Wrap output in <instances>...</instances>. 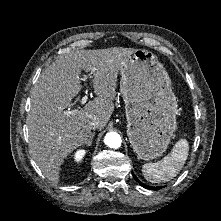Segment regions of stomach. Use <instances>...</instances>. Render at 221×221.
I'll return each mask as SVG.
<instances>
[{"label":"stomach","mask_w":221,"mask_h":221,"mask_svg":"<svg viewBox=\"0 0 221 221\" xmlns=\"http://www.w3.org/2000/svg\"><path fill=\"white\" fill-rule=\"evenodd\" d=\"M127 135L139 159L162 156L177 129L178 105L170 77L157 56L136 49L120 68Z\"/></svg>","instance_id":"0dacf381"}]
</instances>
